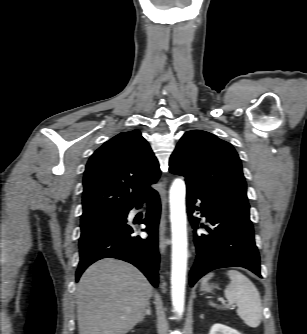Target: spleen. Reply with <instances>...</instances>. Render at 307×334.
<instances>
[{
    "instance_id": "3e777b00",
    "label": "spleen",
    "mask_w": 307,
    "mask_h": 334,
    "mask_svg": "<svg viewBox=\"0 0 307 334\" xmlns=\"http://www.w3.org/2000/svg\"><path fill=\"white\" fill-rule=\"evenodd\" d=\"M230 279V283L226 286L225 297L228 304L225 308L237 306V314L249 327L256 328L260 325L262 319V305L260 294L245 275L236 270H228L226 272ZM214 276V273L207 274L202 279L204 286ZM210 305L216 306L210 302Z\"/></svg>"
}]
</instances>
